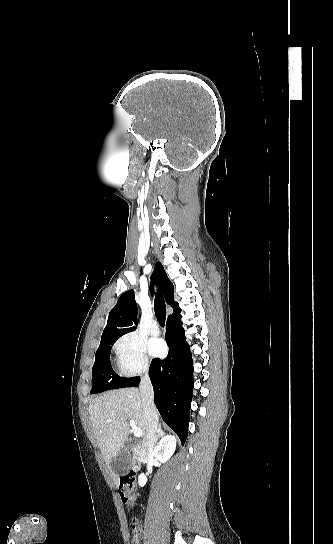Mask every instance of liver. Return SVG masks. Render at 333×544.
<instances>
[{"instance_id": "liver-1", "label": "liver", "mask_w": 333, "mask_h": 544, "mask_svg": "<svg viewBox=\"0 0 333 544\" xmlns=\"http://www.w3.org/2000/svg\"><path fill=\"white\" fill-rule=\"evenodd\" d=\"M89 414L93 433L108 466L130 433L128 420H134L142 430V436H146L142 398L137 388L111 390L94 398L89 405ZM112 476L117 482L119 474L114 472Z\"/></svg>"}]
</instances>
